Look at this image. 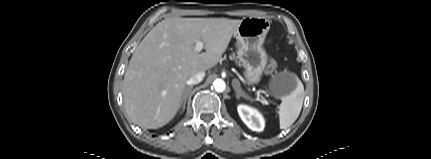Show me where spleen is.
I'll return each instance as SVG.
<instances>
[{"mask_svg": "<svg viewBox=\"0 0 431 159\" xmlns=\"http://www.w3.org/2000/svg\"><path fill=\"white\" fill-rule=\"evenodd\" d=\"M303 100L304 86L298 79L297 88L295 91H293L289 96L285 97L278 107L280 129H286L296 121L301 112Z\"/></svg>", "mask_w": 431, "mask_h": 159, "instance_id": "1", "label": "spleen"}]
</instances>
